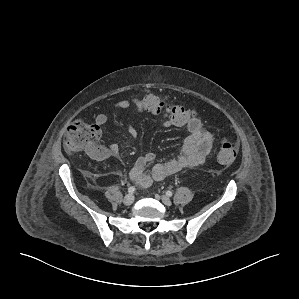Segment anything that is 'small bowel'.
<instances>
[{"label":"small bowel","instance_id":"obj_1","mask_svg":"<svg viewBox=\"0 0 299 299\" xmlns=\"http://www.w3.org/2000/svg\"><path fill=\"white\" fill-rule=\"evenodd\" d=\"M115 107L123 110L134 108L138 114L145 112L141 99L137 97L131 100H119L115 103ZM107 122L108 117L105 114H99L94 119V124L97 127L104 126ZM162 125L165 128L175 127L165 119H163ZM185 127L188 135L184 139L181 151L176 158L155 164L150 171H147V168L155 161V155L147 152L137 158L130 171V178L134 183L142 187H147L154 181L163 180L182 169L196 167L205 161L206 156L212 148V133L203 127L198 118H195ZM127 130L133 138L138 136V131L133 124H129ZM118 154L119 146L111 144L107 148H102L91 153V156L97 160H105L110 157H116Z\"/></svg>","mask_w":299,"mask_h":299}]
</instances>
